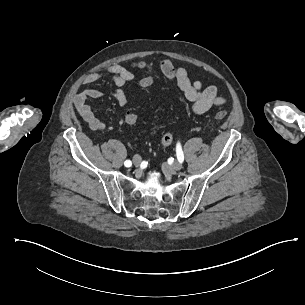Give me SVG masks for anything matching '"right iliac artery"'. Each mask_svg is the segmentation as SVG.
Wrapping results in <instances>:
<instances>
[{"label": "right iliac artery", "mask_w": 305, "mask_h": 305, "mask_svg": "<svg viewBox=\"0 0 305 305\" xmlns=\"http://www.w3.org/2000/svg\"><path fill=\"white\" fill-rule=\"evenodd\" d=\"M124 165H125L126 167H130V166L132 165V162H131L130 160H126V161L124 162Z\"/></svg>", "instance_id": "right-iliac-artery-1"}]
</instances>
